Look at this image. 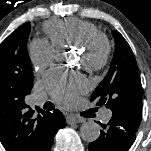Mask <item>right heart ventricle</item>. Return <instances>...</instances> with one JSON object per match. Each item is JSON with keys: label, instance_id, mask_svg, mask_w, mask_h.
I'll return each instance as SVG.
<instances>
[{"label": "right heart ventricle", "instance_id": "right-heart-ventricle-1", "mask_svg": "<svg viewBox=\"0 0 151 151\" xmlns=\"http://www.w3.org/2000/svg\"><path fill=\"white\" fill-rule=\"evenodd\" d=\"M44 31L56 47L80 46L92 35L99 33L98 27L77 18L52 20L44 25Z\"/></svg>", "mask_w": 151, "mask_h": 151}]
</instances>
